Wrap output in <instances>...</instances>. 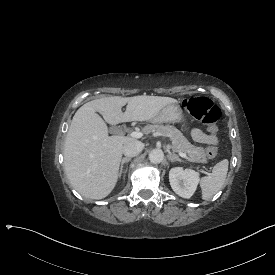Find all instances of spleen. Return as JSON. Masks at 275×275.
I'll return each mask as SVG.
<instances>
[{
    "mask_svg": "<svg viewBox=\"0 0 275 275\" xmlns=\"http://www.w3.org/2000/svg\"><path fill=\"white\" fill-rule=\"evenodd\" d=\"M228 165L229 161L224 159L213 167L210 175L201 178L202 199L212 198L221 189L227 176Z\"/></svg>",
    "mask_w": 275,
    "mask_h": 275,
    "instance_id": "3e777b00",
    "label": "spleen"
}]
</instances>
